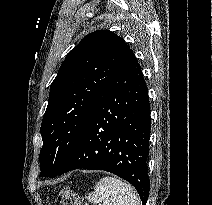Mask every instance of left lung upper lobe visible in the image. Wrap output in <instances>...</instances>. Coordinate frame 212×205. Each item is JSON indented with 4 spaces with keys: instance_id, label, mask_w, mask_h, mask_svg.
I'll list each match as a JSON object with an SVG mask.
<instances>
[{
    "instance_id": "left-lung-upper-lobe-1",
    "label": "left lung upper lobe",
    "mask_w": 212,
    "mask_h": 205,
    "mask_svg": "<svg viewBox=\"0 0 212 205\" xmlns=\"http://www.w3.org/2000/svg\"><path fill=\"white\" fill-rule=\"evenodd\" d=\"M129 49L115 33L98 30L66 55L51 84L41 124V177L59 175Z\"/></svg>"
}]
</instances>
